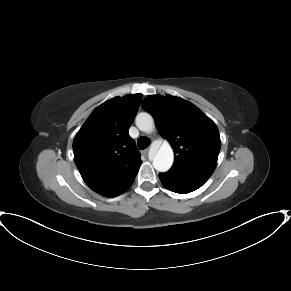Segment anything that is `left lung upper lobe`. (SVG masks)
Wrapping results in <instances>:
<instances>
[{"instance_id": "obj_1", "label": "left lung upper lobe", "mask_w": 291, "mask_h": 291, "mask_svg": "<svg viewBox=\"0 0 291 291\" xmlns=\"http://www.w3.org/2000/svg\"><path fill=\"white\" fill-rule=\"evenodd\" d=\"M142 107L174 150V164L168 173L207 181L221 147L215 123L192 103L171 95H150Z\"/></svg>"}]
</instances>
